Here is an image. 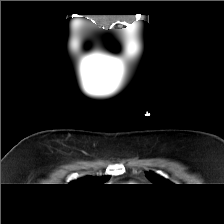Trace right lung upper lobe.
<instances>
[{
	"instance_id": "1",
	"label": "right lung upper lobe",
	"mask_w": 224,
	"mask_h": 224,
	"mask_svg": "<svg viewBox=\"0 0 224 224\" xmlns=\"http://www.w3.org/2000/svg\"><path fill=\"white\" fill-rule=\"evenodd\" d=\"M109 179V176L104 177H91L87 176L76 181L71 182L73 185H94L96 183H104Z\"/></svg>"
}]
</instances>
